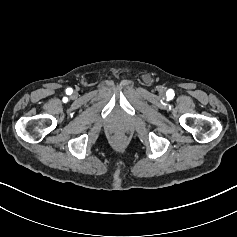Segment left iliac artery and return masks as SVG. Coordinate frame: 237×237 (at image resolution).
<instances>
[{"mask_svg":"<svg viewBox=\"0 0 237 237\" xmlns=\"http://www.w3.org/2000/svg\"><path fill=\"white\" fill-rule=\"evenodd\" d=\"M166 94L167 96H174V91L172 89H169Z\"/></svg>","mask_w":237,"mask_h":237,"instance_id":"44dca946","label":"left iliac artery"}]
</instances>
